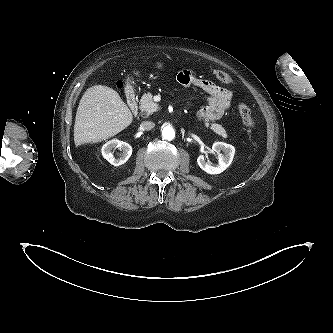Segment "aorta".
<instances>
[{
	"label": "aorta",
	"instance_id": "obj_1",
	"mask_svg": "<svg viewBox=\"0 0 333 333\" xmlns=\"http://www.w3.org/2000/svg\"><path fill=\"white\" fill-rule=\"evenodd\" d=\"M162 136L166 140H172V139H174V137H175V131H174L173 127H171L170 125H167V126L163 127V129H162Z\"/></svg>",
	"mask_w": 333,
	"mask_h": 333
}]
</instances>
